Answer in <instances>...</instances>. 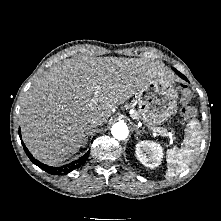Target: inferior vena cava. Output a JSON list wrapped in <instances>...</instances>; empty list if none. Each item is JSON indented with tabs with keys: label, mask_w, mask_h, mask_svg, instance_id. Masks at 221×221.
<instances>
[{
	"label": "inferior vena cava",
	"mask_w": 221,
	"mask_h": 221,
	"mask_svg": "<svg viewBox=\"0 0 221 221\" xmlns=\"http://www.w3.org/2000/svg\"><path fill=\"white\" fill-rule=\"evenodd\" d=\"M91 125L98 126L102 124V120L98 117H94L90 120Z\"/></svg>",
	"instance_id": "inferior-vena-cava-1"
}]
</instances>
